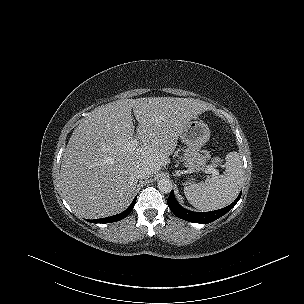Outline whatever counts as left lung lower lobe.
I'll return each instance as SVG.
<instances>
[{
	"instance_id": "obj_1",
	"label": "left lung lower lobe",
	"mask_w": 304,
	"mask_h": 304,
	"mask_svg": "<svg viewBox=\"0 0 304 304\" xmlns=\"http://www.w3.org/2000/svg\"><path fill=\"white\" fill-rule=\"evenodd\" d=\"M240 197H241V193L236 198V200L229 206L219 209V210L211 211V212H193V211H189V210L183 208L182 206H180V204L175 199L173 191H171L169 198L167 200V203H168V206L171 209V211L177 217H179L183 220H186V221L194 222V223L207 224V223H210V222L220 218L221 216L226 214L229 210H231L236 205V203L239 201Z\"/></svg>"
}]
</instances>
